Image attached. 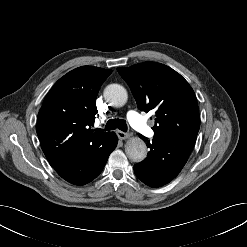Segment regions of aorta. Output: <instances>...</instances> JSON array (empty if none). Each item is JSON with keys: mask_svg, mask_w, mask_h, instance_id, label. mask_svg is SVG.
<instances>
[{"mask_svg": "<svg viewBox=\"0 0 247 247\" xmlns=\"http://www.w3.org/2000/svg\"><path fill=\"white\" fill-rule=\"evenodd\" d=\"M106 101L114 107H122L127 102L126 89L119 84H110L104 90ZM125 152L133 162H140L147 156V146L139 137L129 139L125 144Z\"/></svg>", "mask_w": 247, "mask_h": 247, "instance_id": "762f6f07", "label": "aorta"}]
</instances>
